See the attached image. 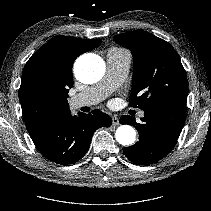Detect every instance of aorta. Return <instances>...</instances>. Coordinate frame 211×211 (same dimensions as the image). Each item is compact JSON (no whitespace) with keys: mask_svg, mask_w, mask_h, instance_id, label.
<instances>
[{"mask_svg":"<svg viewBox=\"0 0 211 211\" xmlns=\"http://www.w3.org/2000/svg\"><path fill=\"white\" fill-rule=\"evenodd\" d=\"M105 72L104 61L95 54H85L80 56L74 64V73L76 78L86 84H92L99 81ZM116 140L119 144L129 146L136 139V132L129 125H121L117 128Z\"/></svg>","mask_w":211,"mask_h":211,"instance_id":"aorta-1","label":"aorta"}]
</instances>
